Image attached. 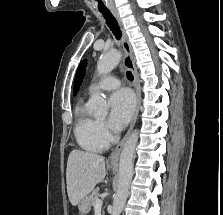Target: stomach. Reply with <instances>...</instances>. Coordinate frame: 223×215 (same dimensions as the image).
Listing matches in <instances>:
<instances>
[{"label": "stomach", "instance_id": "0dacf381", "mask_svg": "<svg viewBox=\"0 0 223 215\" xmlns=\"http://www.w3.org/2000/svg\"><path fill=\"white\" fill-rule=\"evenodd\" d=\"M88 195H86V197H83V199H81V201H79L78 203V209L79 211H81V213H88V211H90V202L87 200Z\"/></svg>", "mask_w": 223, "mask_h": 215}]
</instances>
